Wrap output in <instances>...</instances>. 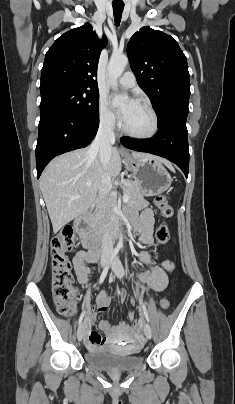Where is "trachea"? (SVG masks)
I'll use <instances>...</instances> for the list:
<instances>
[{"mask_svg":"<svg viewBox=\"0 0 235 404\" xmlns=\"http://www.w3.org/2000/svg\"><path fill=\"white\" fill-rule=\"evenodd\" d=\"M113 12L115 18V25L118 27L121 21L122 12L124 9V4H113Z\"/></svg>","mask_w":235,"mask_h":404,"instance_id":"3493384b","label":"trachea"}]
</instances>
